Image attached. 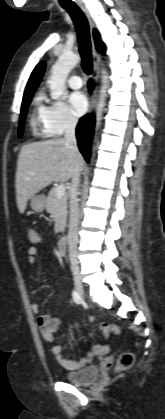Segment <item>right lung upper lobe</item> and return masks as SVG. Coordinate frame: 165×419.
<instances>
[{"mask_svg": "<svg viewBox=\"0 0 165 419\" xmlns=\"http://www.w3.org/2000/svg\"><path fill=\"white\" fill-rule=\"evenodd\" d=\"M94 39H95L97 50H99V35H98V32L96 30H94ZM44 70H45V63L44 62L39 63L35 67V69L33 70L32 74H31V76L28 80V83L26 85L23 100L30 97V96H33V93L35 92L36 88L38 87V85L41 81V78L44 74Z\"/></svg>", "mask_w": 165, "mask_h": 419, "instance_id": "obj_1", "label": "right lung upper lobe"}]
</instances>
